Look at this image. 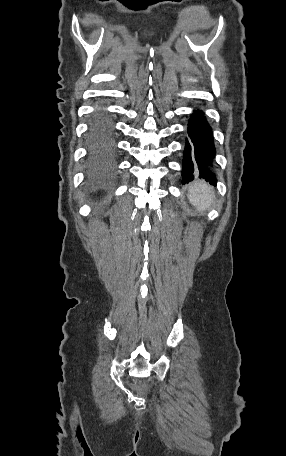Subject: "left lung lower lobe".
Returning <instances> with one entry per match:
<instances>
[{
	"label": "left lung lower lobe",
	"instance_id": "left-lung-lower-lobe-1",
	"mask_svg": "<svg viewBox=\"0 0 286 456\" xmlns=\"http://www.w3.org/2000/svg\"><path fill=\"white\" fill-rule=\"evenodd\" d=\"M188 134L184 150L182 183L192 181L195 174L212 184L216 183L215 175L210 170L215 156L212 131L201 112L196 111L191 115Z\"/></svg>",
	"mask_w": 286,
	"mask_h": 456
}]
</instances>
